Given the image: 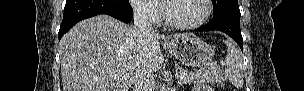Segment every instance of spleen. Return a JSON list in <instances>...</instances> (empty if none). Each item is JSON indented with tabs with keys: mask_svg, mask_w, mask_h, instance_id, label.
<instances>
[{
	"mask_svg": "<svg viewBox=\"0 0 304 91\" xmlns=\"http://www.w3.org/2000/svg\"><path fill=\"white\" fill-rule=\"evenodd\" d=\"M224 43L228 46L225 58L227 68L224 75L232 85L241 88L244 84L242 55L229 41L225 40Z\"/></svg>",
	"mask_w": 304,
	"mask_h": 91,
	"instance_id": "1",
	"label": "spleen"
}]
</instances>
